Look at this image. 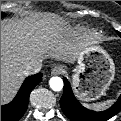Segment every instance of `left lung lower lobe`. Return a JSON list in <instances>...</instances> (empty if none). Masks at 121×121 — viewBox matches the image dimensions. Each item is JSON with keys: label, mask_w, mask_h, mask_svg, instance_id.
Listing matches in <instances>:
<instances>
[{"label": "left lung lower lobe", "mask_w": 121, "mask_h": 121, "mask_svg": "<svg viewBox=\"0 0 121 121\" xmlns=\"http://www.w3.org/2000/svg\"><path fill=\"white\" fill-rule=\"evenodd\" d=\"M121 37V33L117 32ZM64 80L63 95L60 99V106L63 113L72 121H106L121 111V96L117 102L109 109L95 112L83 107L75 98L70 83Z\"/></svg>", "instance_id": "left-lung-lower-lobe-1"}]
</instances>
